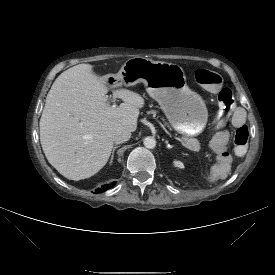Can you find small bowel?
<instances>
[{"label": "small bowel", "mask_w": 275, "mask_h": 275, "mask_svg": "<svg viewBox=\"0 0 275 275\" xmlns=\"http://www.w3.org/2000/svg\"><path fill=\"white\" fill-rule=\"evenodd\" d=\"M232 124L236 129L246 126V113L242 108L237 107L234 110ZM227 136V132H219L212 136L208 143L210 152L215 154L214 161L208 170V175L210 179L215 182H220L225 179L233 163L231 153L226 151L229 146Z\"/></svg>", "instance_id": "1"}]
</instances>
